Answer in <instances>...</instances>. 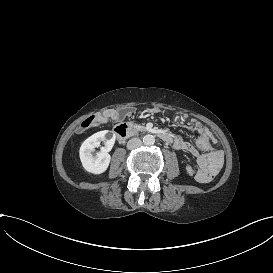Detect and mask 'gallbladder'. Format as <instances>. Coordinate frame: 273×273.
Listing matches in <instances>:
<instances>
[{
    "label": "gallbladder",
    "mask_w": 273,
    "mask_h": 273,
    "mask_svg": "<svg viewBox=\"0 0 273 273\" xmlns=\"http://www.w3.org/2000/svg\"><path fill=\"white\" fill-rule=\"evenodd\" d=\"M136 108L135 107H128L124 108L123 110H119V120H124L126 115L135 114Z\"/></svg>",
    "instance_id": "gallbladder-1"
}]
</instances>
